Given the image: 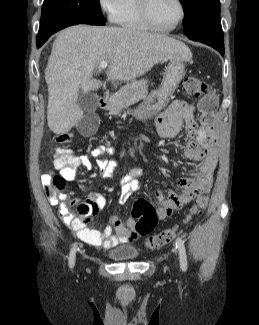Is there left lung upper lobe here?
Returning <instances> with one entry per match:
<instances>
[{
    "label": "left lung upper lobe",
    "mask_w": 259,
    "mask_h": 325,
    "mask_svg": "<svg viewBox=\"0 0 259 325\" xmlns=\"http://www.w3.org/2000/svg\"><path fill=\"white\" fill-rule=\"evenodd\" d=\"M185 12L183 27L189 39L212 29L220 28L219 0H180Z\"/></svg>",
    "instance_id": "5c2ea615"
}]
</instances>
